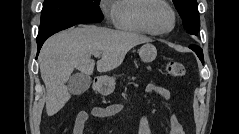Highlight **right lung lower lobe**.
Wrapping results in <instances>:
<instances>
[{
    "label": "right lung lower lobe",
    "mask_w": 239,
    "mask_h": 134,
    "mask_svg": "<svg viewBox=\"0 0 239 134\" xmlns=\"http://www.w3.org/2000/svg\"><path fill=\"white\" fill-rule=\"evenodd\" d=\"M73 25L75 24H72V25H68V26H65L63 28H60V29H57L51 33H49L48 35L44 36V37H41V38H37V44H38V53H39V50L41 48V46L43 45V43L45 42V40L50 37L51 35H53L54 33L58 32V31H61V30H64V29H67L69 27H72Z\"/></svg>",
    "instance_id": "98d812e1"
}]
</instances>
